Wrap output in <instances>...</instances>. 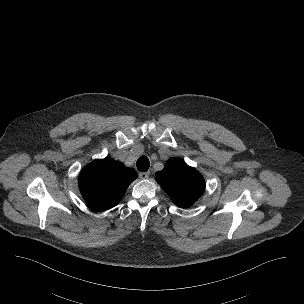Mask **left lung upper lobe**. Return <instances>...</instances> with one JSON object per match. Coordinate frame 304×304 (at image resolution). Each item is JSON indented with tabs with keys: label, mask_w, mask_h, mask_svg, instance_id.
Listing matches in <instances>:
<instances>
[{
	"label": "left lung upper lobe",
	"mask_w": 304,
	"mask_h": 304,
	"mask_svg": "<svg viewBox=\"0 0 304 304\" xmlns=\"http://www.w3.org/2000/svg\"><path fill=\"white\" fill-rule=\"evenodd\" d=\"M156 180L172 201L187 207L201 196L205 189L202 175L180 159H169L163 170L157 172Z\"/></svg>",
	"instance_id": "obj_1"
}]
</instances>
